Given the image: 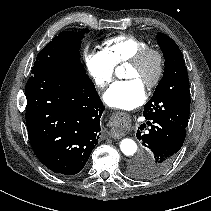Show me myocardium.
<instances>
[{
	"mask_svg": "<svg viewBox=\"0 0 211 211\" xmlns=\"http://www.w3.org/2000/svg\"><path fill=\"white\" fill-rule=\"evenodd\" d=\"M149 57H154L156 60V71L154 76L144 85L148 89L155 88L161 81L165 70V58L163 52L153 46H145L137 51L128 61V64L139 66L143 64Z\"/></svg>",
	"mask_w": 211,
	"mask_h": 211,
	"instance_id": "f54148a6",
	"label": "myocardium"
}]
</instances>
